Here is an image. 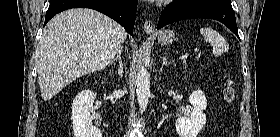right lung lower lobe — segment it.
<instances>
[{
    "instance_id": "obj_1",
    "label": "right lung lower lobe",
    "mask_w": 280,
    "mask_h": 137,
    "mask_svg": "<svg viewBox=\"0 0 280 137\" xmlns=\"http://www.w3.org/2000/svg\"><path fill=\"white\" fill-rule=\"evenodd\" d=\"M77 7L91 8L106 14L121 24L133 36L137 0H51L45 24L56 14Z\"/></svg>"
}]
</instances>
